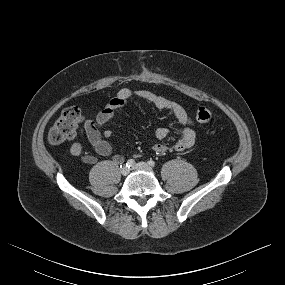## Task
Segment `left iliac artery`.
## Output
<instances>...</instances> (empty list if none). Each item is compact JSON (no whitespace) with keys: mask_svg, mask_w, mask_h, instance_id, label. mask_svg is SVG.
<instances>
[{"mask_svg":"<svg viewBox=\"0 0 285 285\" xmlns=\"http://www.w3.org/2000/svg\"><path fill=\"white\" fill-rule=\"evenodd\" d=\"M148 164L151 166V167H154L155 166V162L153 160H149L148 161Z\"/></svg>","mask_w":285,"mask_h":285,"instance_id":"44dca946","label":"left iliac artery"}]
</instances>
